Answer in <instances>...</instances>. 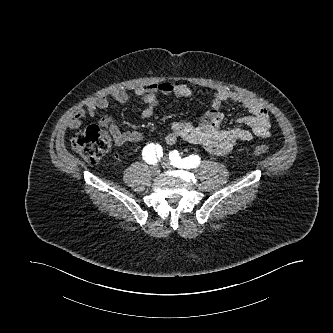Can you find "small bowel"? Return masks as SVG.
<instances>
[{
  "label": "small bowel",
  "mask_w": 333,
  "mask_h": 333,
  "mask_svg": "<svg viewBox=\"0 0 333 333\" xmlns=\"http://www.w3.org/2000/svg\"><path fill=\"white\" fill-rule=\"evenodd\" d=\"M134 94L143 103L145 108L141 112L143 119L153 116L158 105V95H172L177 98H190L193 95L192 89L184 83L164 81L152 83L146 87L139 86ZM128 94L123 90L112 92L109 96L100 95L91 99L85 110L77 111L68 121V126L77 129L81 126L86 116H93L97 110H105L110 107L111 100L117 104H125L128 101ZM233 101L248 111V115L237 119L238 124L245 128H223L224 114L220 107L224 102ZM101 125L107 127L112 134L114 142L118 146L127 144H138L143 140L139 131H121L115 122L104 116L100 120ZM270 118L267 109L255 98L230 91L224 88L215 90L210 110L199 122L176 121L172 124L171 132L166 136L167 144H175L179 140L202 146L211 154L223 155L231 151L241 142L251 141L255 137L267 138L270 135Z\"/></svg>",
  "instance_id": "c3829d8e"
}]
</instances>
